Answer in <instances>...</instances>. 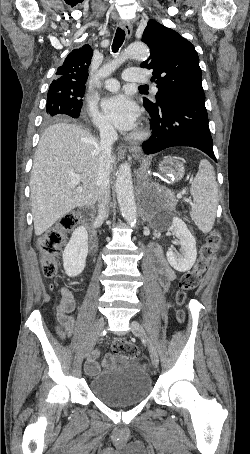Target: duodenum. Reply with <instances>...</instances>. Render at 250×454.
Returning <instances> with one entry per match:
<instances>
[{
    "label": "duodenum",
    "mask_w": 250,
    "mask_h": 454,
    "mask_svg": "<svg viewBox=\"0 0 250 454\" xmlns=\"http://www.w3.org/2000/svg\"><path fill=\"white\" fill-rule=\"evenodd\" d=\"M82 217H83L84 224L89 228L90 242H91L92 247H94L96 242H97V236H96L95 229L92 226V221L93 220H92V212H91V210H88V209L85 210L82 213Z\"/></svg>",
    "instance_id": "duodenum-1"
}]
</instances>
